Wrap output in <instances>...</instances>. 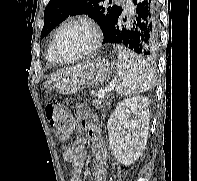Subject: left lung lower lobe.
<instances>
[{
    "label": "left lung lower lobe",
    "mask_w": 197,
    "mask_h": 181,
    "mask_svg": "<svg viewBox=\"0 0 197 181\" xmlns=\"http://www.w3.org/2000/svg\"><path fill=\"white\" fill-rule=\"evenodd\" d=\"M133 14L114 19L103 43L119 44L145 57L153 56L158 48L157 0H132Z\"/></svg>",
    "instance_id": "1"
}]
</instances>
